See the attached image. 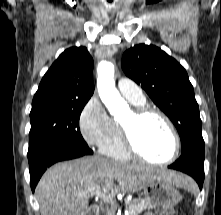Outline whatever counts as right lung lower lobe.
<instances>
[{"mask_svg":"<svg viewBox=\"0 0 221 215\" xmlns=\"http://www.w3.org/2000/svg\"><path fill=\"white\" fill-rule=\"evenodd\" d=\"M90 154H93V151L87 144L56 143L48 145L28 157L32 191L34 192L44 171L54 163Z\"/></svg>","mask_w":221,"mask_h":215,"instance_id":"1","label":"right lung lower lobe"}]
</instances>
